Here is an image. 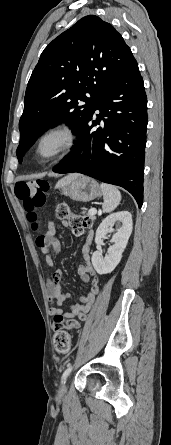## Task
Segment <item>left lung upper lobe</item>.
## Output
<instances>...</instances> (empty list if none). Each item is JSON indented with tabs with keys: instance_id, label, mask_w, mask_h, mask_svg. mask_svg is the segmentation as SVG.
<instances>
[{
	"instance_id": "1",
	"label": "left lung upper lobe",
	"mask_w": 171,
	"mask_h": 445,
	"mask_svg": "<svg viewBox=\"0 0 171 445\" xmlns=\"http://www.w3.org/2000/svg\"><path fill=\"white\" fill-rule=\"evenodd\" d=\"M135 64L120 33L95 15L83 17L55 38L27 85L19 121V162L52 124L67 122L78 136L106 84Z\"/></svg>"
}]
</instances>
